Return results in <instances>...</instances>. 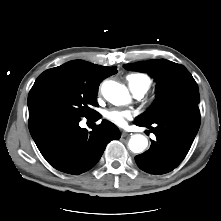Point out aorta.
<instances>
[{
  "label": "aorta",
  "mask_w": 221,
  "mask_h": 221,
  "mask_svg": "<svg viewBox=\"0 0 221 221\" xmlns=\"http://www.w3.org/2000/svg\"><path fill=\"white\" fill-rule=\"evenodd\" d=\"M102 94L107 101L116 106L125 105L130 100L128 89L124 85L112 80L103 83ZM128 145L132 152L141 153L147 148L148 141L145 136L135 134L131 136Z\"/></svg>",
  "instance_id": "1"
}]
</instances>
